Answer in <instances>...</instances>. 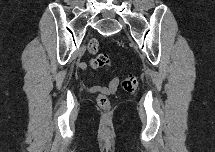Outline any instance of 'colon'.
<instances>
[{
	"label": "colon",
	"mask_w": 215,
	"mask_h": 152,
	"mask_svg": "<svg viewBox=\"0 0 215 152\" xmlns=\"http://www.w3.org/2000/svg\"><path fill=\"white\" fill-rule=\"evenodd\" d=\"M98 48H99L98 41L95 39L90 40V42L88 43V51L91 54H95L98 51ZM109 64H110V59L105 54H99L97 56H94L90 60V65L93 68H102V67L109 66ZM122 88L124 91L129 93L135 92L138 88V82L136 78L132 76L125 77L122 81ZM97 103L99 104L100 107L107 108L109 106V99L105 95H100L97 98Z\"/></svg>",
	"instance_id": "obj_1"
}]
</instances>
